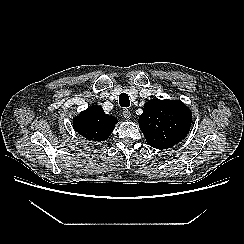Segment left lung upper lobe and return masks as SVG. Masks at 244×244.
Wrapping results in <instances>:
<instances>
[{
    "label": "left lung upper lobe",
    "mask_w": 244,
    "mask_h": 244,
    "mask_svg": "<svg viewBox=\"0 0 244 244\" xmlns=\"http://www.w3.org/2000/svg\"><path fill=\"white\" fill-rule=\"evenodd\" d=\"M191 121L192 113L181 101L151 99L139 116V127L151 147L169 149L188 134Z\"/></svg>",
    "instance_id": "left-lung-upper-lobe-1"
}]
</instances>
